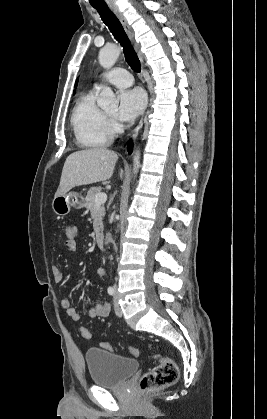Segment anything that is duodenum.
<instances>
[{"label": "duodenum", "mask_w": 267, "mask_h": 419, "mask_svg": "<svg viewBox=\"0 0 267 419\" xmlns=\"http://www.w3.org/2000/svg\"><path fill=\"white\" fill-rule=\"evenodd\" d=\"M96 241H97L98 247H100V248H103L105 246V244H106V238H105V236L103 234H99L97 236Z\"/></svg>", "instance_id": "1"}]
</instances>
